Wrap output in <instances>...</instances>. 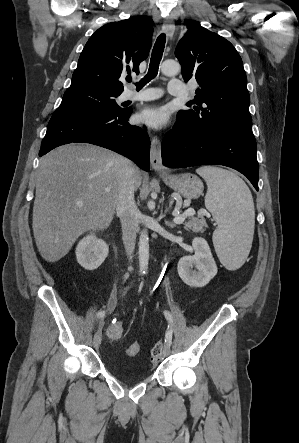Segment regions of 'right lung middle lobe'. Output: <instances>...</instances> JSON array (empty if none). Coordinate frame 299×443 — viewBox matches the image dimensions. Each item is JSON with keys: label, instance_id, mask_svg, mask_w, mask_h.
<instances>
[{"label": "right lung middle lobe", "instance_id": "dd1d6c3e", "mask_svg": "<svg viewBox=\"0 0 299 443\" xmlns=\"http://www.w3.org/2000/svg\"><path fill=\"white\" fill-rule=\"evenodd\" d=\"M120 94L98 88L69 87L64 93L60 106L100 112H118L123 110L115 101Z\"/></svg>", "mask_w": 299, "mask_h": 443}]
</instances>
